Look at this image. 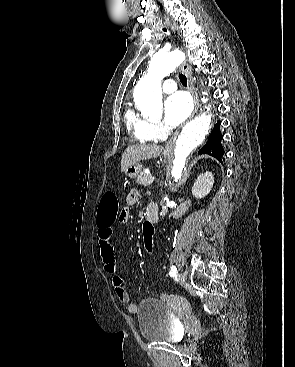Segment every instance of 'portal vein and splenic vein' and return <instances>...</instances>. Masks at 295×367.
<instances>
[{"label": "portal vein and splenic vein", "instance_id": "1", "mask_svg": "<svg viewBox=\"0 0 295 367\" xmlns=\"http://www.w3.org/2000/svg\"><path fill=\"white\" fill-rule=\"evenodd\" d=\"M155 180V177H150L149 180H148V183L151 184L153 181Z\"/></svg>", "mask_w": 295, "mask_h": 367}]
</instances>
